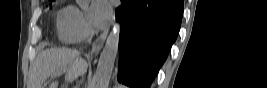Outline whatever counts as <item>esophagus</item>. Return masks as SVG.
I'll use <instances>...</instances> for the list:
<instances>
[{"label": "esophagus", "instance_id": "34e87169", "mask_svg": "<svg viewBox=\"0 0 267 88\" xmlns=\"http://www.w3.org/2000/svg\"><path fill=\"white\" fill-rule=\"evenodd\" d=\"M109 32V28H106L102 34L93 42L92 44V52L94 53L95 56H97L102 49L104 42L107 38Z\"/></svg>", "mask_w": 267, "mask_h": 88}]
</instances>
